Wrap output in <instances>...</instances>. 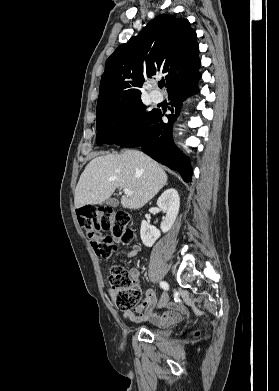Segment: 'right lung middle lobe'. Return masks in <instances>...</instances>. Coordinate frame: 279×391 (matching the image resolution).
I'll list each match as a JSON object with an SVG mask.
<instances>
[{"mask_svg":"<svg viewBox=\"0 0 279 391\" xmlns=\"http://www.w3.org/2000/svg\"><path fill=\"white\" fill-rule=\"evenodd\" d=\"M153 112L154 110L146 112V106L138 100L97 113V144H113Z\"/></svg>","mask_w":279,"mask_h":391,"instance_id":"dd1d6c3e","label":"right lung middle lobe"}]
</instances>
